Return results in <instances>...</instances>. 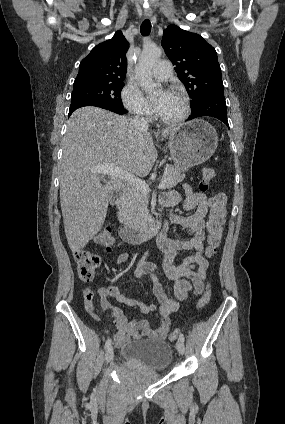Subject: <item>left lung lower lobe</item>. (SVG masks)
Segmentation results:
<instances>
[{
	"instance_id": "0a47b994",
	"label": "left lung lower lobe",
	"mask_w": 285,
	"mask_h": 424,
	"mask_svg": "<svg viewBox=\"0 0 285 424\" xmlns=\"http://www.w3.org/2000/svg\"><path fill=\"white\" fill-rule=\"evenodd\" d=\"M192 114L188 120L202 116L215 117L224 122L228 127L226 102L223 92H214L205 95L195 105L191 106Z\"/></svg>"
}]
</instances>
